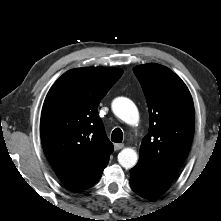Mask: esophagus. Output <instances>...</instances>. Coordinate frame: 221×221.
<instances>
[{
  "instance_id": "34e87169",
  "label": "esophagus",
  "mask_w": 221,
  "mask_h": 221,
  "mask_svg": "<svg viewBox=\"0 0 221 221\" xmlns=\"http://www.w3.org/2000/svg\"><path fill=\"white\" fill-rule=\"evenodd\" d=\"M122 148H124V144H122V143H116V144L114 145V149H115L116 151H118V150H120V149H122Z\"/></svg>"
}]
</instances>
